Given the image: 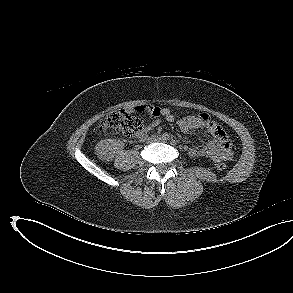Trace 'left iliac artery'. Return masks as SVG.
<instances>
[{
    "label": "left iliac artery",
    "mask_w": 293,
    "mask_h": 293,
    "mask_svg": "<svg viewBox=\"0 0 293 293\" xmlns=\"http://www.w3.org/2000/svg\"><path fill=\"white\" fill-rule=\"evenodd\" d=\"M171 143H172V144H176V141L173 140V139H171Z\"/></svg>",
    "instance_id": "left-iliac-artery-1"
}]
</instances>
